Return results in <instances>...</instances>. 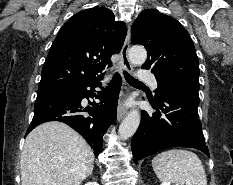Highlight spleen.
<instances>
[{
	"label": "spleen",
	"instance_id": "1",
	"mask_svg": "<svg viewBox=\"0 0 233 185\" xmlns=\"http://www.w3.org/2000/svg\"><path fill=\"white\" fill-rule=\"evenodd\" d=\"M152 167L163 183L207 185L204 166L191 151L172 149L161 152L152 159Z\"/></svg>",
	"mask_w": 233,
	"mask_h": 185
}]
</instances>
